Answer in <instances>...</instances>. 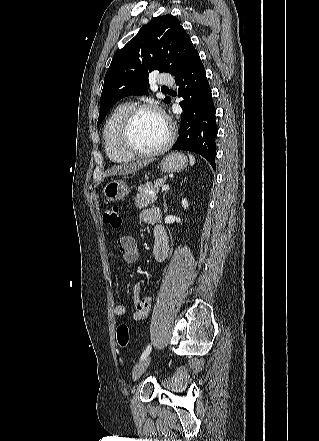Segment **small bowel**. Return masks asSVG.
Segmentation results:
<instances>
[{
	"mask_svg": "<svg viewBox=\"0 0 319 441\" xmlns=\"http://www.w3.org/2000/svg\"><path fill=\"white\" fill-rule=\"evenodd\" d=\"M141 220L153 228L154 243L153 255L156 262L161 263L166 260L168 256V237L166 230L161 224L162 214L157 208L145 209L140 213ZM118 250L123 255L124 261L128 264H133L139 257L138 245L135 239L129 235H122L116 240ZM132 298L134 303V310L132 312V319L134 321H141L148 316L151 307V297L141 296V284L139 282L133 284ZM114 314L122 317L126 314V308L123 304H116L114 306Z\"/></svg>",
	"mask_w": 319,
	"mask_h": 441,
	"instance_id": "1",
	"label": "small bowel"
}]
</instances>
